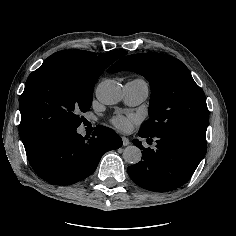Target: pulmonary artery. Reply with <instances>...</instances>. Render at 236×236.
Wrapping results in <instances>:
<instances>
[{
  "label": "pulmonary artery",
  "mask_w": 236,
  "mask_h": 236,
  "mask_svg": "<svg viewBox=\"0 0 236 236\" xmlns=\"http://www.w3.org/2000/svg\"><path fill=\"white\" fill-rule=\"evenodd\" d=\"M149 88L138 80H130L124 85V102L128 105H138L147 99Z\"/></svg>",
  "instance_id": "1"
}]
</instances>
